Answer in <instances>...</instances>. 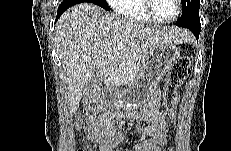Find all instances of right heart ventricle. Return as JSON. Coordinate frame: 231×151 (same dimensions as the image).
Returning a JSON list of instances; mask_svg holds the SVG:
<instances>
[{"mask_svg": "<svg viewBox=\"0 0 231 151\" xmlns=\"http://www.w3.org/2000/svg\"><path fill=\"white\" fill-rule=\"evenodd\" d=\"M131 22L151 23L153 22L143 10V0H121L115 8Z\"/></svg>", "mask_w": 231, "mask_h": 151, "instance_id": "1", "label": "right heart ventricle"}]
</instances>
